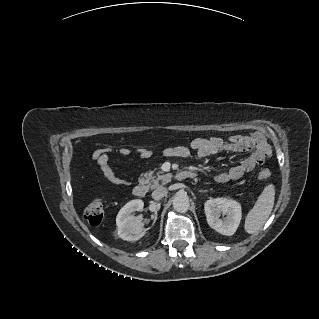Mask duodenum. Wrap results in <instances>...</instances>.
Masks as SVG:
<instances>
[{
    "mask_svg": "<svg viewBox=\"0 0 319 319\" xmlns=\"http://www.w3.org/2000/svg\"><path fill=\"white\" fill-rule=\"evenodd\" d=\"M196 173L190 170H183L176 174L178 180L194 179ZM147 194V188L144 184H137L133 188V195L138 198H144Z\"/></svg>",
    "mask_w": 319,
    "mask_h": 319,
    "instance_id": "duodenum-1",
    "label": "duodenum"
}]
</instances>
